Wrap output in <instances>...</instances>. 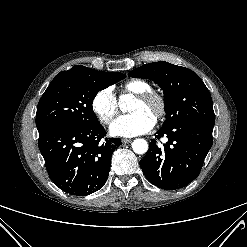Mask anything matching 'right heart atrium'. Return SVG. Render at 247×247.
<instances>
[{
	"instance_id": "obj_1",
	"label": "right heart atrium",
	"mask_w": 247,
	"mask_h": 247,
	"mask_svg": "<svg viewBox=\"0 0 247 247\" xmlns=\"http://www.w3.org/2000/svg\"><path fill=\"white\" fill-rule=\"evenodd\" d=\"M91 107L98 120L104 125L110 124L119 111L117 98L109 87L96 92Z\"/></svg>"
}]
</instances>
